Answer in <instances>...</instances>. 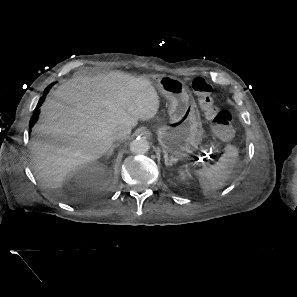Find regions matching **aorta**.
Instances as JSON below:
<instances>
[{
	"instance_id": "762f6f07",
	"label": "aorta",
	"mask_w": 297,
	"mask_h": 297,
	"mask_svg": "<svg viewBox=\"0 0 297 297\" xmlns=\"http://www.w3.org/2000/svg\"><path fill=\"white\" fill-rule=\"evenodd\" d=\"M130 151L136 155L145 154L149 150V143L146 139H135L130 143Z\"/></svg>"
}]
</instances>
